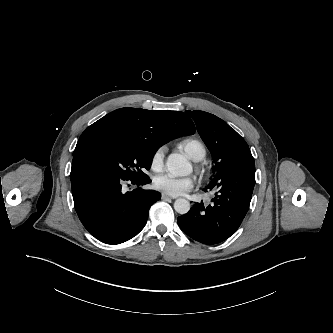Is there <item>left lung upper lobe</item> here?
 <instances>
[{
  "instance_id": "5c2ea615",
  "label": "left lung upper lobe",
  "mask_w": 333,
  "mask_h": 333,
  "mask_svg": "<svg viewBox=\"0 0 333 333\" xmlns=\"http://www.w3.org/2000/svg\"><path fill=\"white\" fill-rule=\"evenodd\" d=\"M195 121L197 130L213 156V173H217L229 161L250 149L244 139L217 116L203 111H186Z\"/></svg>"
}]
</instances>
